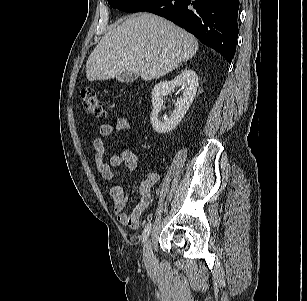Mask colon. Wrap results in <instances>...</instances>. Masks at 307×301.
<instances>
[{"instance_id": "obj_1", "label": "colon", "mask_w": 307, "mask_h": 301, "mask_svg": "<svg viewBox=\"0 0 307 301\" xmlns=\"http://www.w3.org/2000/svg\"><path fill=\"white\" fill-rule=\"evenodd\" d=\"M82 107L88 113L97 118H105L106 111L99 95L91 90H84L81 93Z\"/></svg>"}]
</instances>
